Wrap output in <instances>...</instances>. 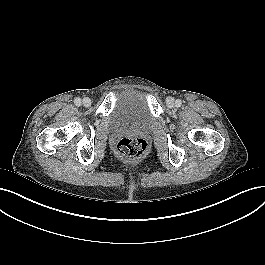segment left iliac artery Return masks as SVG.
Here are the masks:
<instances>
[{
	"label": "left iliac artery",
	"mask_w": 265,
	"mask_h": 265,
	"mask_svg": "<svg viewBox=\"0 0 265 265\" xmlns=\"http://www.w3.org/2000/svg\"><path fill=\"white\" fill-rule=\"evenodd\" d=\"M175 105L180 107L182 105V101L180 99L176 100Z\"/></svg>",
	"instance_id": "44dca946"
}]
</instances>
